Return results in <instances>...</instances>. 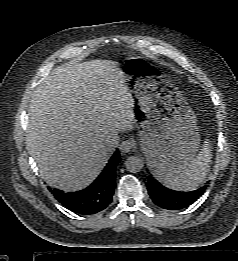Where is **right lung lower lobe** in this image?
Returning <instances> with one entry per match:
<instances>
[{
  "instance_id": "98d812e1",
  "label": "right lung lower lobe",
  "mask_w": 238,
  "mask_h": 261,
  "mask_svg": "<svg viewBox=\"0 0 238 261\" xmlns=\"http://www.w3.org/2000/svg\"><path fill=\"white\" fill-rule=\"evenodd\" d=\"M119 160L120 154L116 151L98 178L83 190L70 193L57 189L50 191L62 205L77 214L98 213L112 201L115 188V167Z\"/></svg>"
}]
</instances>
